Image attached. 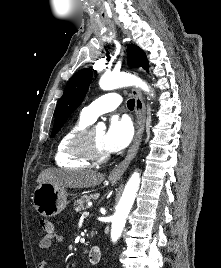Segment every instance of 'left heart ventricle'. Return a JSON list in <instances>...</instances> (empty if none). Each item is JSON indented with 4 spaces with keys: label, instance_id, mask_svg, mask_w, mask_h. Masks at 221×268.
<instances>
[{
    "label": "left heart ventricle",
    "instance_id": "b2bd125f",
    "mask_svg": "<svg viewBox=\"0 0 221 268\" xmlns=\"http://www.w3.org/2000/svg\"><path fill=\"white\" fill-rule=\"evenodd\" d=\"M104 134L105 132L101 129L95 128L92 133V139L93 143L96 147V149L101 153H107V151L104 148Z\"/></svg>",
    "mask_w": 221,
    "mask_h": 268
}]
</instances>
